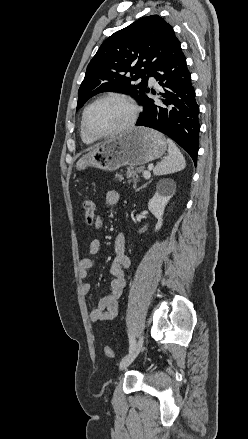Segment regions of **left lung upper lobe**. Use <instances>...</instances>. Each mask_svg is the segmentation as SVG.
Masks as SVG:
<instances>
[{"instance_id": "obj_1", "label": "left lung upper lobe", "mask_w": 248, "mask_h": 439, "mask_svg": "<svg viewBox=\"0 0 248 439\" xmlns=\"http://www.w3.org/2000/svg\"><path fill=\"white\" fill-rule=\"evenodd\" d=\"M177 41L173 28L158 15L143 17L112 34L88 64L77 110L92 96L107 91L128 94L141 102L149 76ZM139 78V84H132Z\"/></svg>"}]
</instances>
